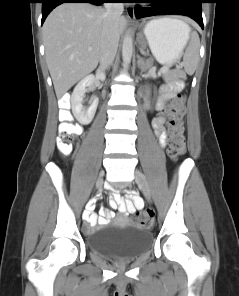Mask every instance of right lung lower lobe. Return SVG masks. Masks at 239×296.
Wrapping results in <instances>:
<instances>
[{"mask_svg": "<svg viewBox=\"0 0 239 296\" xmlns=\"http://www.w3.org/2000/svg\"><path fill=\"white\" fill-rule=\"evenodd\" d=\"M110 0H41L42 3V21L41 24L45 21L47 15L58 5L62 3H91L94 5H100L106 3Z\"/></svg>", "mask_w": 239, "mask_h": 296, "instance_id": "right-lung-lower-lobe-1", "label": "right lung lower lobe"}]
</instances>
